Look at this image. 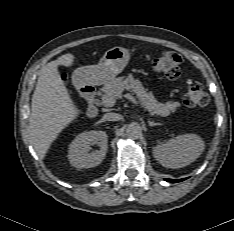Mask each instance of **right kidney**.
Masks as SVG:
<instances>
[{
	"mask_svg": "<svg viewBox=\"0 0 234 231\" xmlns=\"http://www.w3.org/2000/svg\"><path fill=\"white\" fill-rule=\"evenodd\" d=\"M108 136L104 131H89L79 134L69 145L68 158L76 168H91L100 164L107 152ZM92 144L100 150L89 153Z\"/></svg>",
	"mask_w": 234,
	"mask_h": 231,
	"instance_id": "right-kidney-1",
	"label": "right kidney"
}]
</instances>
